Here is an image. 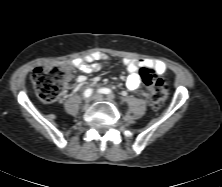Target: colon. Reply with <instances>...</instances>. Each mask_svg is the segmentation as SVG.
<instances>
[{"instance_id":"1","label":"colon","mask_w":222,"mask_h":187,"mask_svg":"<svg viewBox=\"0 0 222 187\" xmlns=\"http://www.w3.org/2000/svg\"><path fill=\"white\" fill-rule=\"evenodd\" d=\"M140 77L147 88L152 107L160 108L168 95L165 81L153 75L148 68L140 70ZM32 81L37 97L42 102L52 103L57 100L62 89L73 82V74L67 63L49 62L33 70Z\"/></svg>"}]
</instances>
